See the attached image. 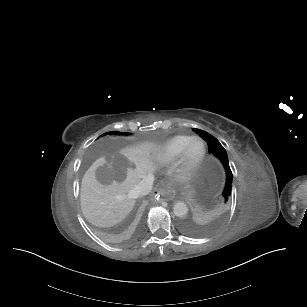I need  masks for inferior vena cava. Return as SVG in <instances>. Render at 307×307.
Returning a JSON list of instances; mask_svg holds the SVG:
<instances>
[{
    "instance_id": "602c4592",
    "label": "inferior vena cava",
    "mask_w": 307,
    "mask_h": 307,
    "mask_svg": "<svg viewBox=\"0 0 307 307\" xmlns=\"http://www.w3.org/2000/svg\"><path fill=\"white\" fill-rule=\"evenodd\" d=\"M154 178L152 176H147L143 180H141L138 185L132 190V194L135 198L141 197L144 195H148L154 185Z\"/></svg>"
}]
</instances>
